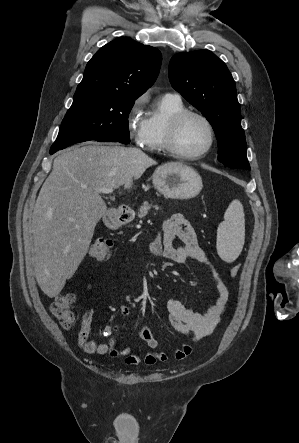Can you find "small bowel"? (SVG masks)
<instances>
[{"mask_svg":"<svg viewBox=\"0 0 299 443\" xmlns=\"http://www.w3.org/2000/svg\"><path fill=\"white\" fill-rule=\"evenodd\" d=\"M180 243H176V239ZM148 252L153 257H163L174 263L183 264L194 262L204 266L214 283L215 300L205 312H196L186 308L178 299H170L167 303L169 312L168 321L171 328L186 336L191 343H197L202 338L212 333L215 326L221 320L229 302L228 287L209 260L207 254L200 246L197 234L189 224L187 218L182 214H175L166 219L161 226V233L157 234L148 247ZM91 285L88 286V289ZM119 312L122 317L129 315L130 309L121 305ZM92 311L86 310L83 314V327L78 334V344L83 352L87 354H108L113 358H124L128 365H137L140 362L151 365L163 362L167 359L166 353L157 351L159 342L153 336L148 326L140 328L139 335L151 348L144 355L132 353L129 348H119L115 343L117 325H106L103 335L109 337L107 342H95L89 339ZM192 352L190 344H184L174 351V358L182 360Z\"/></svg>","mask_w":299,"mask_h":443,"instance_id":"1","label":"small bowel"}]
</instances>
